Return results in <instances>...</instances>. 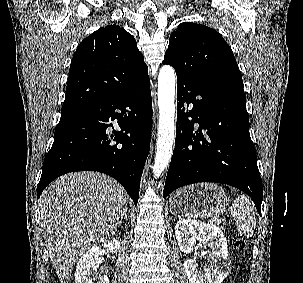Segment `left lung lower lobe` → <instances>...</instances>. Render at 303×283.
Here are the masks:
<instances>
[{
	"label": "left lung lower lobe",
	"instance_id": "0a47b994",
	"mask_svg": "<svg viewBox=\"0 0 303 283\" xmlns=\"http://www.w3.org/2000/svg\"><path fill=\"white\" fill-rule=\"evenodd\" d=\"M177 108L164 198L188 184L217 182L248 194L261 214L263 188L243 86L225 78L177 74Z\"/></svg>",
	"mask_w": 303,
	"mask_h": 283
}]
</instances>
